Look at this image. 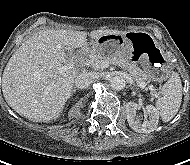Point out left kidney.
Wrapping results in <instances>:
<instances>
[{
  "label": "left kidney",
  "mask_w": 190,
  "mask_h": 165,
  "mask_svg": "<svg viewBox=\"0 0 190 165\" xmlns=\"http://www.w3.org/2000/svg\"><path fill=\"white\" fill-rule=\"evenodd\" d=\"M141 105L128 102L126 104V114H127V121L129 126L138 133H150L157 128L159 122V114L158 111L152 105H147L145 107V112L149 116V120H146L141 123L139 119L136 118V110L140 109Z\"/></svg>",
  "instance_id": "5707ae66"
}]
</instances>
